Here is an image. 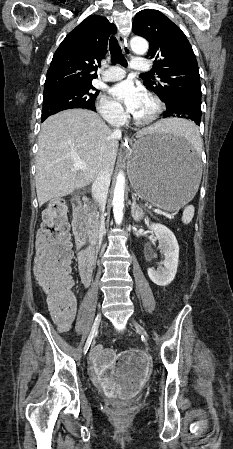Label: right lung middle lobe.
I'll use <instances>...</instances> for the list:
<instances>
[{
	"instance_id": "1",
	"label": "right lung middle lobe",
	"mask_w": 233,
	"mask_h": 449,
	"mask_svg": "<svg viewBox=\"0 0 233 449\" xmlns=\"http://www.w3.org/2000/svg\"><path fill=\"white\" fill-rule=\"evenodd\" d=\"M92 85L71 86L44 92L41 119L62 110L86 108L95 111V99L98 91Z\"/></svg>"
}]
</instances>
